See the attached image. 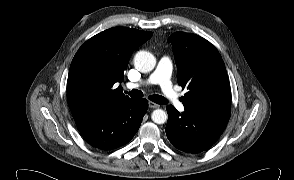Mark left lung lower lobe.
Wrapping results in <instances>:
<instances>
[{"mask_svg":"<svg viewBox=\"0 0 294 180\" xmlns=\"http://www.w3.org/2000/svg\"><path fill=\"white\" fill-rule=\"evenodd\" d=\"M167 138L176 148L187 153H199L211 147L223 133L230 114L196 112L179 113L172 105L166 107Z\"/></svg>","mask_w":294,"mask_h":180,"instance_id":"obj_1","label":"left lung lower lobe"}]
</instances>
